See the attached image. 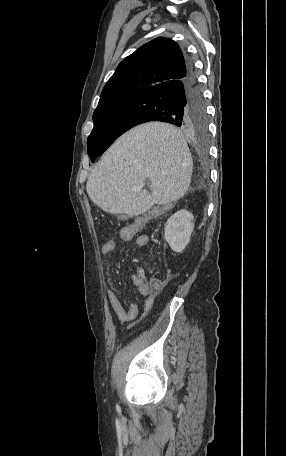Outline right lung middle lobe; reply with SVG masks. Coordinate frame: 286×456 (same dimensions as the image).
Wrapping results in <instances>:
<instances>
[{
	"label": "right lung middle lobe",
	"instance_id": "dd1d6c3e",
	"mask_svg": "<svg viewBox=\"0 0 286 456\" xmlns=\"http://www.w3.org/2000/svg\"><path fill=\"white\" fill-rule=\"evenodd\" d=\"M140 120V107L134 95L113 100L96 109L93 114L94 127L87 140L91 161L94 162L121 134L140 124ZM192 131L205 136L207 120Z\"/></svg>",
	"mask_w": 286,
	"mask_h": 456
}]
</instances>
